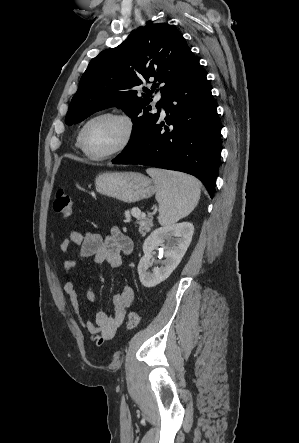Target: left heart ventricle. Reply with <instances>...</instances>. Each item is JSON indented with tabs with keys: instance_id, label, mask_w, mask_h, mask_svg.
I'll return each mask as SVG.
<instances>
[{
	"instance_id": "b2bd125f",
	"label": "left heart ventricle",
	"mask_w": 299,
	"mask_h": 443,
	"mask_svg": "<svg viewBox=\"0 0 299 443\" xmlns=\"http://www.w3.org/2000/svg\"><path fill=\"white\" fill-rule=\"evenodd\" d=\"M125 135L123 123L114 118H100L92 122L85 134L87 149L93 154H104L116 148Z\"/></svg>"
}]
</instances>
